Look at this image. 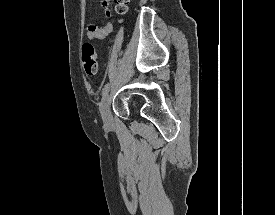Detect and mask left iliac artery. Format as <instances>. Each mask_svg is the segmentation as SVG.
I'll use <instances>...</instances> for the list:
<instances>
[{
  "label": "left iliac artery",
  "instance_id": "1",
  "mask_svg": "<svg viewBox=\"0 0 275 215\" xmlns=\"http://www.w3.org/2000/svg\"><path fill=\"white\" fill-rule=\"evenodd\" d=\"M109 88H110V84H109V83L105 84V86H104V88H103V90H102V95H103V96L106 95V94L108 93Z\"/></svg>",
  "mask_w": 275,
  "mask_h": 215
}]
</instances>
